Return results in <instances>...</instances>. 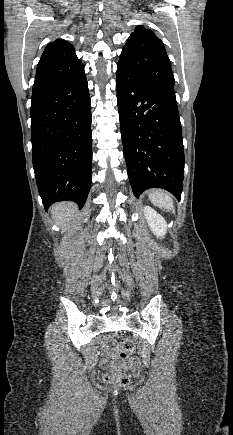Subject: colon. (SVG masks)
<instances>
[{"mask_svg":"<svg viewBox=\"0 0 233 435\" xmlns=\"http://www.w3.org/2000/svg\"><path fill=\"white\" fill-rule=\"evenodd\" d=\"M113 355L117 359H123L131 354L135 350L134 342L129 339H123L118 343H112ZM132 376L129 373H115L112 370L108 371L104 375V380L107 384L126 386L131 382Z\"/></svg>","mask_w":233,"mask_h":435,"instance_id":"colon-1","label":"colon"}]
</instances>
